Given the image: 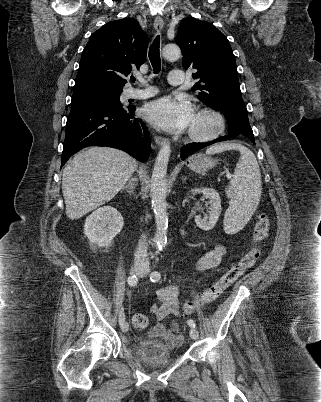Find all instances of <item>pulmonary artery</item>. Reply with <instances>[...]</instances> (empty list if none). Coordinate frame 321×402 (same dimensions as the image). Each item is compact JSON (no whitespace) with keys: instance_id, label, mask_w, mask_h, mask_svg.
Segmentation results:
<instances>
[{"instance_id":"pulmonary-artery-1","label":"pulmonary artery","mask_w":321,"mask_h":402,"mask_svg":"<svg viewBox=\"0 0 321 402\" xmlns=\"http://www.w3.org/2000/svg\"><path fill=\"white\" fill-rule=\"evenodd\" d=\"M168 82L172 86L182 85L184 82V75L181 70H173L169 73ZM158 93V90L152 87H148L142 90H134L130 93L132 98L146 99L152 97Z\"/></svg>"}]
</instances>
